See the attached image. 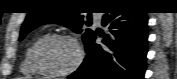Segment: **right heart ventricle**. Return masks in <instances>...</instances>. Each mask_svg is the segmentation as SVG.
I'll return each instance as SVG.
<instances>
[{"mask_svg": "<svg viewBox=\"0 0 177 79\" xmlns=\"http://www.w3.org/2000/svg\"><path fill=\"white\" fill-rule=\"evenodd\" d=\"M44 35L38 36L34 41L30 43L28 48L26 49L22 64H21V72L26 75H39L40 72H38L35 67L32 64L31 61V52L34 45L42 38Z\"/></svg>", "mask_w": 177, "mask_h": 79, "instance_id": "obj_1", "label": "right heart ventricle"}]
</instances>
